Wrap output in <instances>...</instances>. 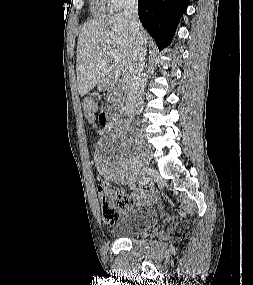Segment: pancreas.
I'll return each mask as SVG.
<instances>
[{
    "label": "pancreas",
    "mask_w": 253,
    "mask_h": 285,
    "mask_svg": "<svg viewBox=\"0 0 253 285\" xmlns=\"http://www.w3.org/2000/svg\"><path fill=\"white\" fill-rule=\"evenodd\" d=\"M125 85L122 80L109 79L107 83L108 103L115 109H121L125 101Z\"/></svg>",
    "instance_id": "pancreas-1"
}]
</instances>
